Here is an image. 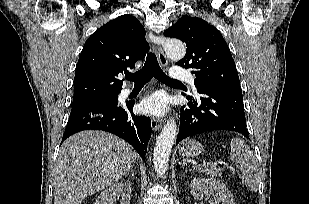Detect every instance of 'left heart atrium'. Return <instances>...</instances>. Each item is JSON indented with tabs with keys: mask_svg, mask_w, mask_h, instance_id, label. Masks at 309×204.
<instances>
[{
	"mask_svg": "<svg viewBox=\"0 0 309 204\" xmlns=\"http://www.w3.org/2000/svg\"><path fill=\"white\" fill-rule=\"evenodd\" d=\"M140 109L146 114L162 116L168 110L167 98L164 94L155 93L141 102Z\"/></svg>",
	"mask_w": 309,
	"mask_h": 204,
	"instance_id": "1",
	"label": "left heart atrium"
}]
</instances>
